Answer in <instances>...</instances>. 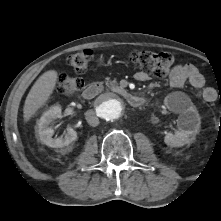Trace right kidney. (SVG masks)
Listing matches in <instances>:
<instances>
[{
    "label": "right kidney",
    "instance_id": "ca27d5eb",
    "mask_svg": "<svg viewBox=\"0 0 221 221\" xmlns=\"http://www.w3.org/2000/svg\"><path fill=\"white\" fill-rule=\"evenodd\" d=\"M61 117V107L55 105L46 111L39 119L36 126V133L43 144L52 148H62L77 139V132L72 128L67 129L64 137L52 138L54 130L50 125L55 119Z\"/></svg>",
    "mask_w": 221,
    "mask_h": 221
}]
</instances>
